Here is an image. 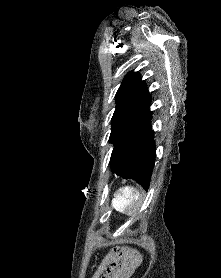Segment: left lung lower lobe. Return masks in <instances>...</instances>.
Segmentation results:
<instances>
[{
  "label": "left lung lower lobe",
  "instance_id": "obj_1",
  "mask_svg": "<svg viewBox=\"0 0 221 278\" xmlns=\"http://www.w3.org/2000/svg\"><path fill=\"white\" fill-rule=\"evenodd\" d=\"M153 137L148 106L113 149L110 159L112 172L126 179L132 178L148 189L156 157Z\"/></svg>",
  "mask_w": 221,
  "mask_h": 278
}]
</instances>
